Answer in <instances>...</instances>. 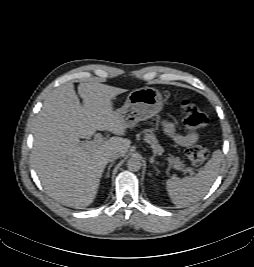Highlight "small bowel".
Wrapping results in <instances>:
<instances>
[{
	"label": "small bowel",
	"mask_w": 254,
	"mask_h": 267,
	"mask_svg": "<svg viewBox=\"0 0 254 267\" xmlns=\"http://www.w3.org/2000/svg\"><path fill=\"white\" fill-rule=\"evenodd\" d=\"M163 126L165 131L169 134V136L180 146L189 147L195 144L198 140V134L195 132L180 134L177 133L173 124L170 122H163Z\"/></svg>",
	"instance_id": "obj_1"
}]
</instances>
